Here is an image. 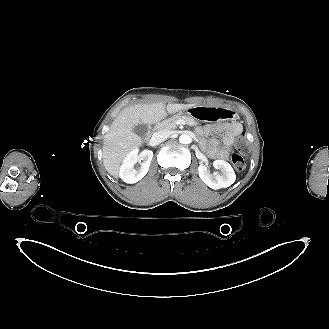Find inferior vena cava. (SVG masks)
<instances>
[{
    "mask_svg": "<svg viewBox=\"0 0 329 329\" xmlns=\"http://www.w3.org/2000/svg\"><path fill=\"white\" fill-rule=\"evenodd\" d=\"M170 137V132L166 130H161L158 132H155L152 136V142L154 144H160L163 141L167 140Z\"/></svg>",
    "mask_w": 329,
    "mask_h": 329,
    "instance_id": "obj_1",
    "label": "inferior vena cava"
}]
</instances>
